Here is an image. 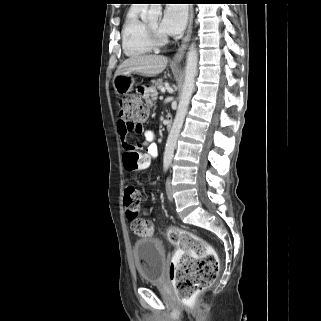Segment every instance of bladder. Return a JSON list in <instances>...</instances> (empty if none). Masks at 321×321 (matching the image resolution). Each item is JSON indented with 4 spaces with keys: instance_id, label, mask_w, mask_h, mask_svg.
<instances>
[{
    "instance_id": "obj_1",
    "label": "bladder",
    "mask_w": 321,
    "mask_h": 321,
    "mask_svg": "<svg viewBox=\"0 0 321 321\" xmlns=\"http://www.w3.org/2000/svg\"><path fill=\"white\" fill-rule=\"evenodd\" d=\"M132 251L141 280L147 284L161 282L166 259L162 242L156 238H142L134 242Z\"/></svg>"
}]
</instances>
